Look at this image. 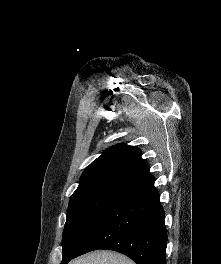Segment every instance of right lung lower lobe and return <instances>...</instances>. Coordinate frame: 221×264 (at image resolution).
<instances>
[{"label": "right lung lower lobe", "instance_id": "1", "mask_svg": "<svg viewBox=\"0 0 221 264\" xmlns=\"http://www.w3.org/2000/svg\"><path fill=\"white\" fill-rule=\"evenodd\" d=\"M154 182L150 175L128 186L82 247L61 264L97 249L123 253L137 264H166L165 213Z\"/></svg>", "mask_w": 221, "mask_h": 264}]
</instances>
